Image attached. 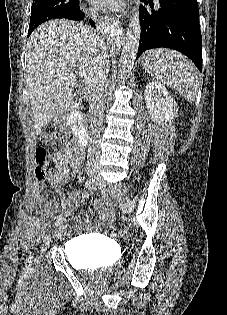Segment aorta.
Listing matches in <instances>:
<instances>
[{
  "label": "aorta",
  "mask_w": 227,
  "mask_h": 315,
  "mask_svg": "<svg viewBox=\"0 0 227 315\" xmlns=\"http://www.w3.org/2000/svg\"><path fill=\"white\" fill-rule=\"evenodd\" d=\"M104 33L109 45L114 49L121 50L119 79L124 81L132 71L138 52L141 35L138 2H135V6L132 9L125 37L122 36L120 30L114 25H107Z\"/></svg>",
  "instance_id": "obj_1"
}]
</instances>
